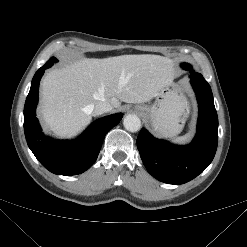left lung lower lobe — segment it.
<instances>
[{
  "instance_id": "obj_1",
  "label": "left lung lower lobe",
  "mask_w": 247,
  "mask_h": 247,
  "mask_svg": "<svg viewBox=\"0 0 247 247\" xmlns=\"http://www.w3.org/2000/svg\"><path fill=\"white\" fill-rule=\"evenodd\" d=\"M191 84L199 104L197 134L186 146H176L154 138L142 128L137 147L147 171L168 184H184L212 162L218 143V117L211 88L203 76L191 72Z\"/></svg>"
}]
</instances>
